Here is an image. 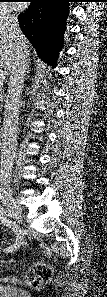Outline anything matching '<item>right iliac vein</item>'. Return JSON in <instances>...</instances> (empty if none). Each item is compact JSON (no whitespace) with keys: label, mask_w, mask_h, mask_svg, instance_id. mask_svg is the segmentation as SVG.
<instances>
[{"label":"right iliac vein","mask_w":107,"mask_h":297,"mask_svg":"<svg viewBox=\"0 0 107 297\" xmlns=\"http://www.w3.org/2000/svg\"><path fill=\"white\" fill-rule=\"evenodd\" d=\"M6 202L8 209L15 219V221L19 224L23 221V215L20 207L17 205V202L15 198L12 195H8L6 197ZM25 233H21L19 236H17L15 243L12 245V251L17 250L24 242Z\"/></svg>","instance_id":"right-iliac-vein-1"}]
</instances>
